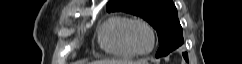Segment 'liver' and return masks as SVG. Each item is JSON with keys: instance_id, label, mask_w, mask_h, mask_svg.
<instances>
[{"instance_id": "6515ba94", "label": "liver", "mask_w": 242, "mask_h": 64, "mask_svg": "<svg viewBox=\"0 0 242 64\" xmlns=\"http://www.w3.org/2000/svg\"><path fill=\"white\" fill-rule=\"evenodd\" d=\"M92 64H135L133 61L100 60Z\"/></svg>"}]
</instances>
